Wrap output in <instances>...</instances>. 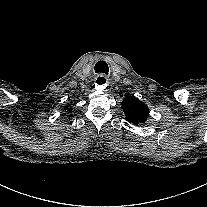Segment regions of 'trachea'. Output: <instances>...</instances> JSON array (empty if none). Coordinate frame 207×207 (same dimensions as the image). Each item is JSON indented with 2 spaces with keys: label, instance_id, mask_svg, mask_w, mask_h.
<instances>
[{
  "label": "trachea",
  "instance_id": "obj_1",
  "mask_svg": "<svg viewBox=\"0 0 207 207\" xmlns=\"http://www.w3.org/2000/svg\"><path fill=\"white\" fill-rule=\"evenodd\" d=\"M108 65L105 61H98L95 65V72H102V73H108Z\"/></svg>",
  "mask_w": 207,
  "mask_h": 207
}]
</instances>
